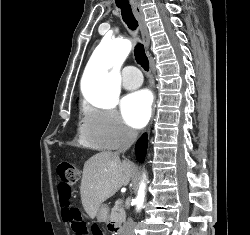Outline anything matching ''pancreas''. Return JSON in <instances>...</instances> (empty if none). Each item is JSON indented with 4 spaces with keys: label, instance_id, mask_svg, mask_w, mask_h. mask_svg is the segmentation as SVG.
Masks as SVG:
<instances>
[{
    "label": "pancreas",
    "instance_id": "cf45deb5",
    "mask_svg": "<svg viewBox=\"0 0 250 235\" xmlns=\"http://www.w3.org/2000/svg\"><path fill=\"white\" fill-rule=\"evenodd\" d=\"M125 217L126 214L123 207V203L121 200H119V202L116 203V205L111 210L110 221L121 224L125 221Z\"/></svg>",
    "mask_w": 250,
    "mask_h": 235
}]
</instances>
